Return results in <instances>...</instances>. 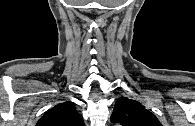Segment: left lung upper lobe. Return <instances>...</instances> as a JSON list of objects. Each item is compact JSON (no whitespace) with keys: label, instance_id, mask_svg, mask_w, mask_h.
Instances as JSON below:
<instances>
[{"label":"left lung upper lobe","instance_id":"5c2ea615","mask_svg":"<svg viewBox=\"0 0 195 126\" xmlns=\"http://www.w3.org/2000/svg\"><path fill=\"white\" fill-rule=\"evenodd\" d=\"M111 121L122 126H162L157 117L141 103L121 97L111 115Z\"/></svg>","mask_w":195,"mask_h":126}]
</instances>
